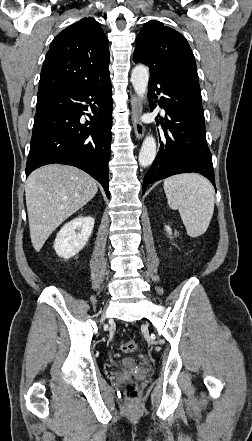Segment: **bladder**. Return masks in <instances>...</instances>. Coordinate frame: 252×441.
<instances>
[{"label":"bladder","mask_w":252,"mask_h":441,"mask_svg":"<svg viewBox=\"0 0 252 441\" xmlns=\"http://www.w3.org/2000/svg\"><path fill=\"white\" fill-rule=\"evenodd\" d=\"M136 363V360L133 358H122L119 363H118V367H131Z\"/></svg>","instance_id":"bladder-1"}]
</instances>
